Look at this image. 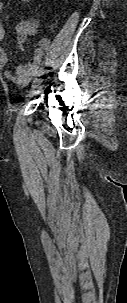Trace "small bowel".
<instances>
[{"label": "small bowel", "instance_id": "small-bowel-1", "mask_svg": "<svg viewBox=\"0 0 127 303\" xmlns=\"http://www.w3.org/2000/svg\"><path fill=\"white\" fill-rule=\"evenodd\" d=\"M22 4H29L31 0H19ZM2 10V2L0 1V12ZM37 25L33 18L27 19L19 23L15 31L19 37L18 48L24 49L23 38L28 30L34 28ZM5 40V30L0 21V69L4 70L3 74L5 79L13 82L16 86H25L31 78L36 74L39 69L42 59L45 53L49 49L50 42L47 38H42L39 40L38 45L35 49L33 58L25 63L24 65L18 66L15 72L7 69L9 57L3 48V43Z\"/></svg>", "mask_w": 127, "mask_h": 303}]
</instances>
